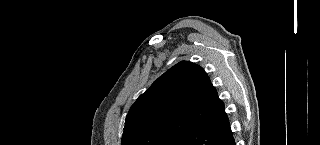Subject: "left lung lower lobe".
<instances>
[{"instance_id":"left-lung-lower-lobe-1","label":"left lung lower lobe","mask_w":320,"mask_h":145,"mask_svg":"<svg viewBox=\"0 0 320 145\" xmlns=\"http://www.w3.org/2000/svg\"><path fill=\"white\" fill-rule=\"evenodd\" d=\"M215 105L210 115L191 129L178 145H235L224 104L213 87Z\"/></svg>"}]
</instances>
